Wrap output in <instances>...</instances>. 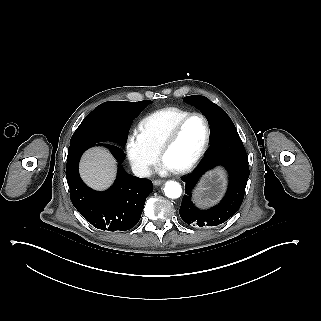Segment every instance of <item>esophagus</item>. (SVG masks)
<instances>
[{
	"label": "esophagus",
	"instance_id": "1",
	"mask_svg": "<svg viewBox=\"0 0 321 321\" xmlns=\"http://www.w3.org/2000/svg\"><path fill=\"white\" fill-rule=\"evenodd\" d=\"M162 183H164V180H155V181L153 182V184L156 185V186H158V185H160V184H162Z\"/></svg>",
	"mask_w": 321,
	"mask_h": 321
}]
</instances>
